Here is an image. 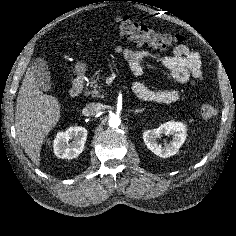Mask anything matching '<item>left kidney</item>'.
I'll use <instances>...</instances> for the list:
<instances>
[{
	"label": "left kidney",
	"mask_w": 236,
	"mask_h": 236,
	"mask_svg": "<svg viewBox=\"0 0 236 236\" xmlns=\"http://www.w3.org/2000/svg\"><path fill=\"white\" fill-rule=\"evenodd\" d=\"M161 135H172V141L169 144L161 146L157 138ZM187 129L181 122L169 121L161 124L157 129L147 130L143 133V140L147 148L155 155L168 158L175 155L186 140Z\"/></svg>",
	"instance_id": "obj_1"
}]
</instances>
